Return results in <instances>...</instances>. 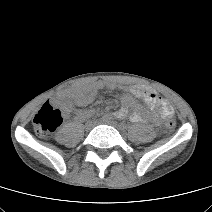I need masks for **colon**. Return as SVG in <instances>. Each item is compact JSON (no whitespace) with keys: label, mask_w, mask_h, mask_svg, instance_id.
<instances>
[{"label":"colon","mask_w":212,"mask_h":212,"mask_svg":"<svg viewBox=\"0 0 212 212\" xmlns=\"http://www.w3.org/2000/svg\"><path fill=\"white\" fill-rule=\"evenodd\" d=\"M63 121L62 110L52 101L45 102L33 118V127L37 134L46 136L52 133ZM175 121L168 118L165 122L167 129L175 128Z\"/></svg>","instance_id":"1"}]
</instances>
